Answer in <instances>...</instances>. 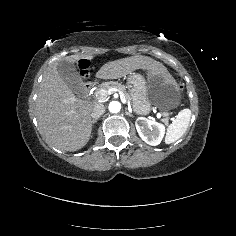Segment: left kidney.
<instances>
[{
  "label": "left kidney",
  "instance_id": "left-kidney-1",
  "mask_svg": "<svg viewBox=\"0 0 236 236\" xmlns=\"http://www.w3.org/2000/svg\"><path fill=\"white\" fill-rule=\"evenodd\" d=\"M140 137L149 145H159L165 137L166 126L146 117H138L135 123Z\"/></svg>",
  "mask_w": 236,
  "mask_h": 236
}]
</instances>
